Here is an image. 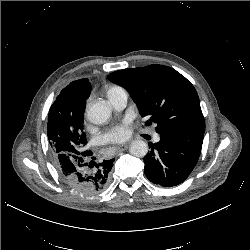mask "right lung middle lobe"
<instances>
[{
	"mask_svg": "<svg viewBox=\"0 0 250 250\" xmlns=\"http://www.w3.org/2000/svg\"><path fill=\"white\" fill-rule=\"evenodd\" d=\"M47 135L54 161L61 153L68 154L73 159L75 157L72 155L84 156L87 153V150L82 149L87 144L83 132V117L69 122L58 120L57 112L48 115Z\"/></svg>",
	"mask_w": 250,
	"mask_h": 250,
	"instance_id": "dd1d6c3e",
	"label": "right lung middle lobe"
}]
</instances>
